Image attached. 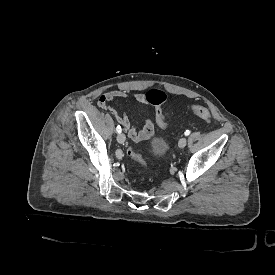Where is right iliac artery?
<instances>
[{
    "label": "right iliac artery",
    "instance_id": "obj_1",
    "mask_svg": "<svg viewBox=\"0 0 275 275\" xmlns=\"http://www.w3.org/2000/svg\"><path fill=\"white\" fill-rule=\"evenodd\" d=\"M116 131H117V133H121L122 129H121L120 125L117 126Z\"/></svg>",
    "mask_w": 275,
    "mask_h": 275
}]
</instances>
